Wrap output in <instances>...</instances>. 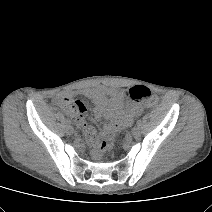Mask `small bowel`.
Masks as SVG:
<instances>
[{"instance_id": "c3829d8e", "label": "small bowel", "mask_w": 212, "mask_h": 212, "mask_svg": "<svg viewBox=\"0 0 212 212\" xmlns=\"http://www.w3.org/2000/svg\"><path fill=\"white\" fill-rule=\"evenodd\" d=\"M83 95L94 104L95 118L107 121L102 136H108L121 128L130 126L133 119L143 111V107L139 104H126L125 96L113 88L98 86L83 91ZM77 124L82 129L87 141L95 148V154H98L96 130L81 117L77 119Z\"/></svg>"}]
</instances>
